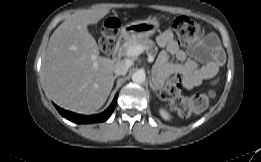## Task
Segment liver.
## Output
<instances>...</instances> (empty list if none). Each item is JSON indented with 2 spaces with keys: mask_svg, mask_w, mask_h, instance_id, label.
I'll return each instance as SVG.
<instances>
[{
  "mask_svg": "<svg viewBox=\"0 0 261 162\" xmlns=\"http://www.w3.org/2000/svg\"><path fill=\"white\" fill-rule=\"evenodd\" d=\"M109 11L104 6L75 13L49 39L42 63L44 91L64 109L93 113L110 94L114 61L99 56L97 43L87 30Z\"/></svg>",
  "mask_w": 261,
  "mask_h": 162,
  "instance_id": "1",
  "label": "liver"
}]
</instances>
